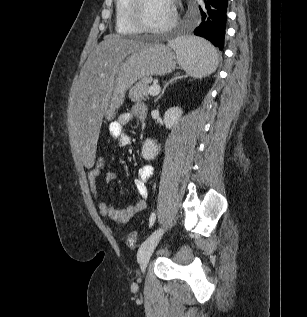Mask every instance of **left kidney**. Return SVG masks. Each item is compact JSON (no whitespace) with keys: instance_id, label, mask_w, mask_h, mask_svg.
I'll return each mask as SVG.
<instances>
[{"instance_id":"left-kidney-1","label":"left kidney","mask_w":307,"mask_h":317,"mask_svg":"<svg viewBox=\"0 0 307 317\" xmlns=\"http://www.w3.org/2000/svg\"><path fill=\"white\" fill-rule=\"evenodd\" d=\"M183 111L179 107H172L168 109L164 114V124L166 128L171 129L176 126L181 118ZM158 150H160V145H157L153 140L146 139L142 147V157L146 160L154 159Z\"/></svg>"}]
</instances>
